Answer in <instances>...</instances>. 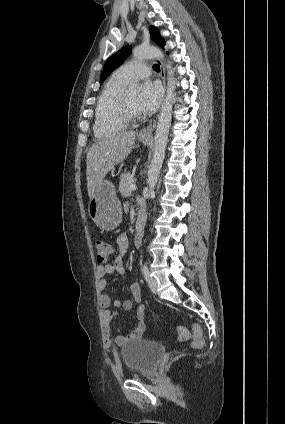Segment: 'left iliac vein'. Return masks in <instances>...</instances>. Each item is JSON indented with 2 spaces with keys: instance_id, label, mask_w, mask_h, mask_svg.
<instances>
[{
  "instance_id": "1",
  "label": "left iliac vein",
  "mask_w": 285,
  "mask_h": 424,
  "mask_svg": "<svg viewBox=\"0 0 285 424\" xmlns=\"http://www.w3.org/2000/svg\"><path fill=\"white\" fill-rule=\"evenodd\" d=\"M148 284L153 293H157V281L153 277H149Z\"/></svg>"
}]
</instances>
